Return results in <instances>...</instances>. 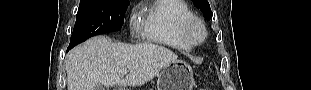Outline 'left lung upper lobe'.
<instances>
[{"mask_svg":"<svg viewBox=\"0 0 311 90\" xmlns=\"http://www.w3.org/2000/svg\"><path fill=\"white\" fill-rule=\"evenodd\" d=\"M194 4L201 9L203 15L207 19H211L212 11L207 0H192Z\"/></svg>","mask_w":311,"mask_h":90,"instance_id":"left-lung-upper-lobe-1","label":"left lung upper lobe"}]
</instances>
